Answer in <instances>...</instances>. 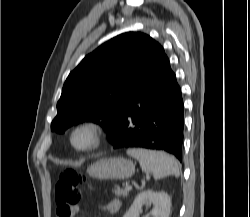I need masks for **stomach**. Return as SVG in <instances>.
Instances as JSON below:
<instances>
[{
  "label": "stomach",
  "mask_w": 250,
  "mask_h": 217,
  "mask_svg": "<svg viewBox=\"0 0 250 217\" xmlns=\"http://www.w3.org/2000/svg\"><path fill=\"white\" fill-rule=\"evenodd\" d=\"M135 172V164L125 158L101 159L87 168L89 176L99 180H124Z\"/></svg>",
  "instance_id": "1"
}]
</instances>
